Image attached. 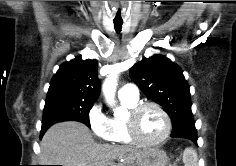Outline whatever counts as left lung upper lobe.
<instances>
[{"label":"left lung upper lobe","instance_id":"left-lung-upper-lobe-1","mask_svg":"<svg viewBox=\"0 0 236 166\" xmlns=\"http://www.w3.org/2000/svg\"><path fill=\"white\" fill-rule=\"evenodd\" d=\"M130 76L148 98L164 108L172 125L195 124L189 86L177 64L166 56L154 55L136 63Z\"/></svg>","mask_w":236,"mask_h":166}]
</instances>
